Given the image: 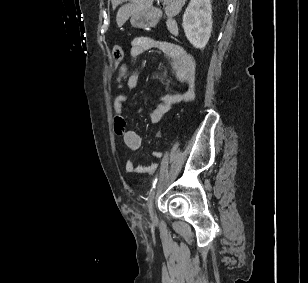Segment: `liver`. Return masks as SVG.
<instances>
[{
    "mask_svg": "<svg viewBox=\"0 0 308 283\" xmlns=\"http://www.w3.org/2000/svg\"><path fill=\"white\" fill-rule=\"evenodd\" d=\"M128 4L119 8L116 16V22L121 27L132 15L147 12L151 9L154 0H111L113 8L117 7L122 2ZM187 0H164L165 13L168 16H176L185 5Z\"/></svg>",
    "mask_w": 308,
    "mask_h": 283,
    "instance_id": "1",
    "label": "liver"
}]
</instances>
